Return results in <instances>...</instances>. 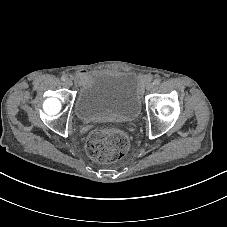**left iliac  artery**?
I'll list each match as a JSON object with an SVG mask.
<instances>
[{"label":"left iliac artery","instance_id":"44dca946","mask_svg":"<svg viewBox=\"0 0 227 227\" xmlns=\"http://www.w3.org/2000/svg\"><path fill=\"white\" fill-rule=\"evenodd\" d=\"M159 83H160V79H155L153 82L154 85H158Z\"/></svg>","mask_w":227,"mask_h":227}]
</instances>
